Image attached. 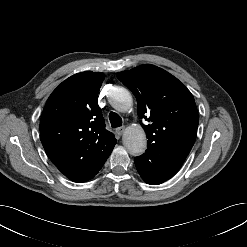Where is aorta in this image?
I'll return each mask as SVG.
<instances>
[{
  "label": "aorta",
  "mask_w": 247,
  "mask_h": 247,
  "mask_svg": "<svg viewBox=\"0 0 247 247\" xmlns=\"http://www.w3.org/2000/svg\"><path fill=\"white\" fill-rule=\"evenodd\" d=\"M110 103L115 110L126 112L131 108L133 99L127 89L116 87L111 92ZM122 140L127 151L133 156L141 155L146 150L147 138L140 126L128 127L123 134Z\"/></svg>",
  "instance_id": "1"
}]
</instances>
